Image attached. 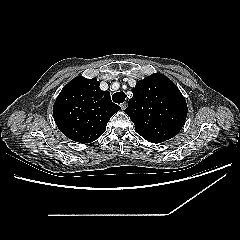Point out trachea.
Returning <instances> with one entry per match:
<instances>
[{
	"instance_id": "1",
	"label": "trachea",
	"mask_w": 240,
	"mask_h": 240,
	"mask_svg": "<svg viewBox=\"0 0 240 240\" xmlns=\"http://www.w3.org/2000/svg\"><path fill=\"white\" fill-rule=\"evenodd\" d=\"M125 93L124 92H116L113 94L112 96V100L115 102V103H123L125 101Z\"/></svg>"
}]
</instances>
